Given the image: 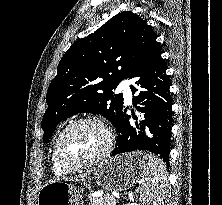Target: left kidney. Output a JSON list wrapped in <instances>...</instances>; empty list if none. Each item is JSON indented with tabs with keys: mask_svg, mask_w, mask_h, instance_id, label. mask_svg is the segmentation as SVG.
Instances as JSON below:
<instances>
[{
	"mask_svg": "<svg viewBox=\"0 0 222 205\" xmlns=\"http://www.w3.org/2000/svg\"><path fill=\"white\" fill-rule=\"evenodd\" d=\"M130 205H139V204H136V203H132V204H130Z\"/></svg>",
	"mask_w": 222,
	"mask_h": 205,
	"instance_id": "left-kidney-1",
	"label": "left kidney"
}]
</instances>
